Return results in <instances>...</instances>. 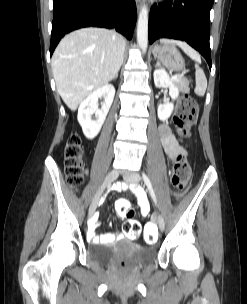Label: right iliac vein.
<instances>
[{
	"instance_id": "1",
	"label": "right iliac vein",
	"mask_w": 247,
	"mask_h": 304,
	"mask_svg": "<svg viewBox=\"0 0 247 304\" xmlns=\"http://www.w3.org/2000/svg\"><path fill=\"white\" fill-rule=\"evenodd\" d=\"M119 172L118 170H112L105 178L103 185L98 190L96 195L94 196L92 203L89 208V215L92 216L94 212L96 211V208L98 206V202L103 194V191L108 188L117 178H118Z\"/></svg>"
}]
</instances>
